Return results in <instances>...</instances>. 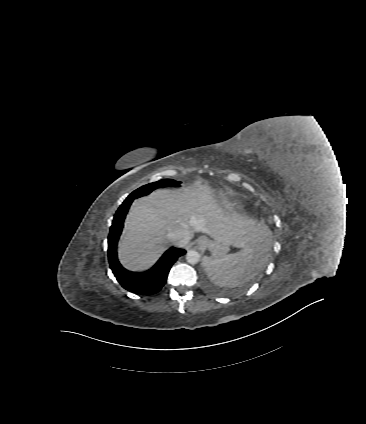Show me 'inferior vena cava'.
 <instances>
[{
  "label": "inferior vena cava",
  "instance_id": "inferior-vena-cava-1",
  "mask_svg": "<svg viewBox=\"0 0 366 424\" xmlns=\"http://www.w3.org/2000/svg\"><path fill=\"white\" fill-rule=\"evenodd\" d=\"M170 241L175 245L187 244L191 239V234L189 231L184 229H179L169 236Z\"/></svg>",
  "mask_w": 366,
  "mask_h": 424
}]
</instances>
